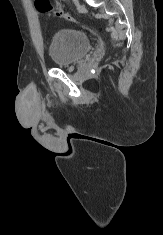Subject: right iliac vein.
I'll return each instance as SVG.
<instances>
[{"label": "right iliac vein", "instance_id": "1", "mask_svg": "<svg viewBox=\"0 0 163 235\" xmlns=\"http://www.w3.org/2000/svg\"><path fill=\"white\" fill-rule=\"evenodd\" d=\"M76 5H79V0H74Z\"/></svg>", "mask_w": 163, "mask_h": 235}]
</instances>
